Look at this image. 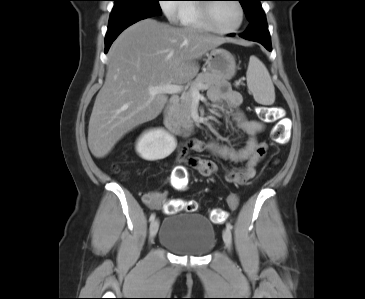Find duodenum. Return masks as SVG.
<instances>
[{
	"instance_id": "obj_1",
	"label": "duodenum",
	"mask_w": 365,
	"mask_h": 299,
	"mask_svg": "<svg viewBox=\"0 0 365 299\" xmlns=\"http://www.w3.org/2000/svg\"><path fill=\"white\" fill-rule=\"evenodd\" d=\"M179 97L177 95L170 96L167 105L163 111V123L167 129L175 134H185L190 128V124H183L175 120L174 113L178 105Z\"/></svg>"
}]
</instances>
